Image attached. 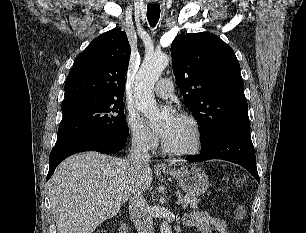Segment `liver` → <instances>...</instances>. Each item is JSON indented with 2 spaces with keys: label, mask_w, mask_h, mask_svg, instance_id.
I'll list each match as a JSON object with an SVG mask.
<instances>
[{
  "label": "liver",
  "mask_w": 306,
  "mask_h": 233,
  "mask_svg": "<svg viewBox=\"0 0 306 233\" xmlns=\"http://www.w3.org/2000/svg\"><path fill=\"white\" fill-rule=\"evenodd\" d=\"M178 160H170L176 165ZM152 183L149 165L135 169L128 159L86 152L64 160L49 180L58 233H92L117 215L137 191Z\"/></svg>",
  "instance_id": "obj_1"
}]
</instances>
